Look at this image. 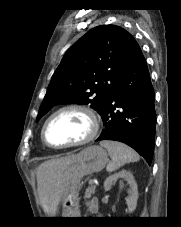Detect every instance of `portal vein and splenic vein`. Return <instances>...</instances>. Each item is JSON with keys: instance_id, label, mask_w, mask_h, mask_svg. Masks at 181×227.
<instances>
[{"instance_id": "obj_1", "label": "portal vein and splenic vein", "mask_w": 181, "mask_h": 227, "mask_svg": "<svg viewBox=\"0 0 181 227\" xmlns=\"http://www.w3.org/2000/svg\"><path fill=\"white\" fill-rule=\"evenodd\" d=\"M89 184L94 185V180H90Z\"/></svg>"}]
</instances>
